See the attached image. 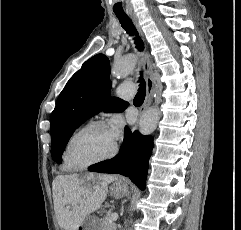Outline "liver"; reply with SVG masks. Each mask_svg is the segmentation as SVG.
<instances>
[{
    "mask_svg": "<svg viewBox=\"0 0 241 230\" xmlns=\"http://www.w3.org/2000/svg\"><path fill=\"white\" fill-rule=\"evenodd\" d=\"M87 176L91 183H80L77 175H59L53 181L54 206L59 225L64 230H77L90 213L101 207L107 197L108 185L117 180L112 175L90 173Z\"/></svg>",
    "mask_w": 241,
    "mask_h": 230,
    "instance_id": "6515ba94",
    "label": "liver"
}]
</instances>
